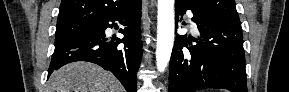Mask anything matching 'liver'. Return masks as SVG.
<instances>
[{"mask_svg":"<svg viewBox=\"0 0 289 92\" xmlns=\"http://www.w3.org/2000/svg\"><path fill=\"white\" fill-rule=\"evenodd\" d=\"M48 92H124L115 76L87 62H74L52 73Z\"/></svg>","mask_w":289,"mask_h":92,"instance_id":"1","label":"liver"}]
</instances>
